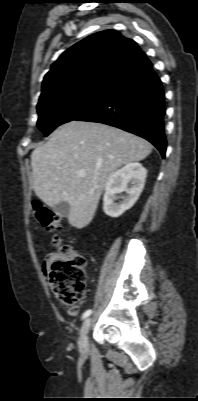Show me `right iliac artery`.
Listing matches in <instances>:
<instances>
[{"label": "right iliac artery", "mask_w": 198, "mask_h": 401, "mask_svg": "<svg viewBox=\"0 0 198 401\" xmlns=\"http://www.w3.org/2000/svg\"><path fill=\"white\" fill-rule=\"evenodd\" d=\"M92 313V310H86L83 314V319L87 318Z\"/></svg>", "instance_id": "82829eb1"}]
</instances>
